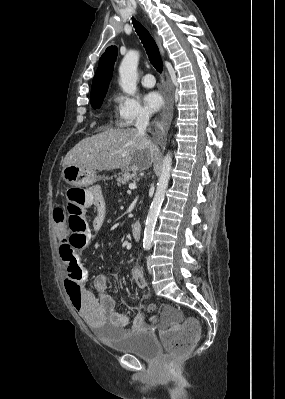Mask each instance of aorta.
<instances>
[{
	"instance_id": "762f6f07",
	"label": "aorta",
	"mask_w": 285,
	"mask_h": 399,
	"mask_svg": "<svg viewBox=\"0 0 285 399\" xmlns=\"http://www.w3.org/2000/svg\"><path fill=\"white\" fill-rule=\"evenodd\" d=\"M139 52L129 51L119 67V85L128 95H134L137 90V67ZM172 158L168 153L163 160L161 174L157 183L155 196L151 203L144 229L143 247L149 248L153 240L154 228L168 187Z\"/></svg>"
}]
</instances>
